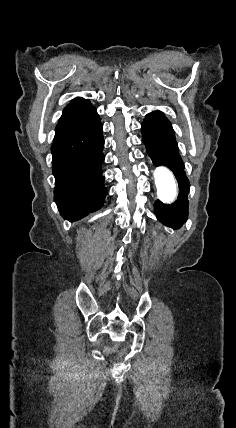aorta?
Listing matches in <instances>:
<instances>
[{"mask_svg": "<svg viewBox=\"0 0 236 428\" xmlns=\"http://www.w3.org/2000/svg\"><path fill=\"white\" fill-rule=\"evenodd\" d=\"M153 175L159 200L165 204L173 202L177 195V186L172 172L160 166L155 169Z\"/></svg>", "mask_w": 236, "mask_h": 428, "instance_id": "762f6f07", "label": "aorta"}]
</instances>
